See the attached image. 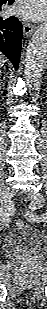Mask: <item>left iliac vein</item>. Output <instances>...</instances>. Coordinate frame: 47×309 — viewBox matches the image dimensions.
Segmentation results:
<instances>
[{
    "label": "left iliac vein",
    "mask_w": 47,
    "mask_h": 309,
    "mask_svg": "<svg viewBox=\"0 0 47 309\" xmlns=\"http://www.w3.org/2000/svg\"><path fill=\"white\" fill-rule=\"evenodd\" d=\"M28 196L31 200L29 207L31 211H35L43 206L45 200L40 192L30 191L28 192Z\"/></svg>",
    "instance_id": "1"
}]
</instances>
